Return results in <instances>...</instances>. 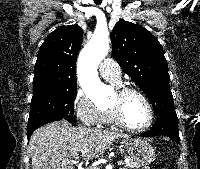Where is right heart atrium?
<instances>
[{"instance_id":"1","label":"right heart atrium","mask_w":200,"mask_h":169,"mask_svg":"<svg viewBox=\"0 0 200 169\" xmlns=\"http://www.w3.org/2000/svg\"><path fill=\"white\" fill-rule=\"evenodd\" d=\"M73 110L76 117L85 125L102 124L104 110L96 106L91 98L82 91H78L74 97Z\"/></svg>"}]
</instances>
